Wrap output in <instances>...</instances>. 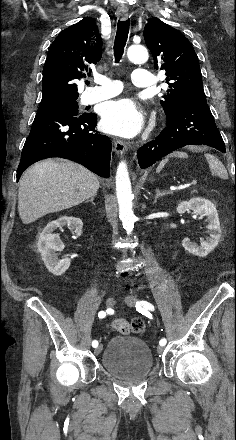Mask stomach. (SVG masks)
Instances as JSON below:
<instances>
[{"label": "stomach", "mask_w": 236, "mask_h": 440, "mask_svg": "<svg viewBox=\"0 0 236 440\" xmlns=\"http://www.w3.org/2000/svg\"><path fill=\"white\" fill-rule=\"evenodd\" d=\"M180 156H184L183 154H179Z\"/></svg>", "instance_id": "0dacf381"}]
</instances>
